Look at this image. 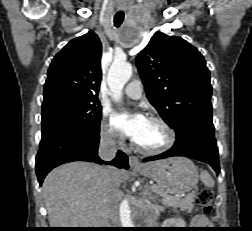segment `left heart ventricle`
I'll list each match as a JSON object with an SVG mask.
<instances>
[{
  "label": "left heart ventricle",
  "instance_id": "obj_1",
  "mask_svg": "<svg viewBox=\"0 0 252 231\" xmlns=\"http://www.w3.org/2000/svg\"><path fill=\"white\" fill-rule=\"evenodd\" d=\"M167 141L164 128L154 121L148 120L146 127L136 142L144 148H159Z\"/></svg>",
  "mask_w": 252,
  "mask_h": 231
}]
</instances>
